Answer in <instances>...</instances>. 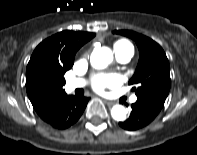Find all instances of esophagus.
Returning a JSON list of instances; mask_svg holds the SVG:
<instances>
[{
    "instance_id": "34e87169",
    "label": "esophagus",
    "mask_w": 197,
    "mask_h": 155,
    "mask_svg": "<svg viewBox=\"0 0 197 155\" xmlns=\"http://www.w3.org/2000/svg\"><path fill=\"white\" fill-rule=\"evenodd\" d=\"M103 101L108 106H113L115 104L113 101H109V100H106V99H104Z\"/></svg>"
}]
</instances>
